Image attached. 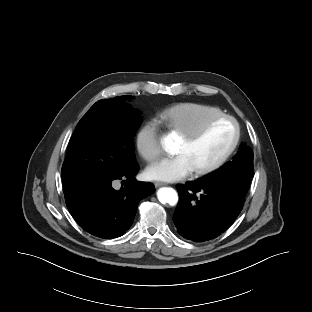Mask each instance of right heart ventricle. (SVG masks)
Masks as SVG:
<instances>
[{"label":"right heart ventricle","mask_w":312,"mask_h":312,"mask_svg":"<svg viewBox=\"0 0 312 312\" xmlns=\"http://www.w3.org/2000/svg\"><path fill=\"white\" fill-rule=\"evenodd\" d=\"M222 113L214 106L188 102L166 108L159 114V119L169 129L184 135L196 130L207 119Z\"/></svg>","instance_id":"obj_1"}]
</instances>
